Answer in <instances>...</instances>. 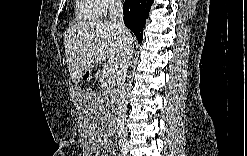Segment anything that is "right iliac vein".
<instances>
[{
  "label": "right iliac vein",
  "instance_id": "63e3f726",
  "mask_svg": "<svg viewBox=\"0 0 247 156\" xmlns=\"http://www.w3.org/2000/svg\"><path fill=\"white\" fill-rule=\"evenodd\" d=\"M121 151L124 155H128V152H129V147L126 146V145H122L121 146Z\"/></svg>",
  "mask_w": 247,
  "mask_h": 156
}]
</instances>
